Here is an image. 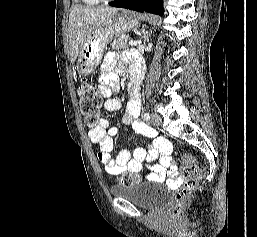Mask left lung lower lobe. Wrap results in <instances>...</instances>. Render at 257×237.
<instances>
[{"mask_svg":"<svg viewBox=\"0 0 257 237\" xmlns=\"http://www.w3.org/2000/svg\"><path fill=\"white\" fill-rule=\"evenodd\" d=\"M109 5L158 15H163L164 13L161 0H118L110 2Z\"/></svg>","mask_w":257,"mask_h":237,"instance_id":"0a47b994","label":"left lung lower lobe"}]
</instances>
